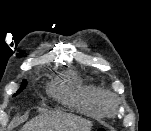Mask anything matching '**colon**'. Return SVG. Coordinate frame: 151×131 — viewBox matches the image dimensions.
Segmentation results:
<instances>
[{"label": "colon", "mask_w": 151, "mask_h": 131, "mask_svg": "<svg viewBox=\"0 0 151 131\" xmlns=\"http://www.w3.org/2000/svg\"><path fill=\"white\" fill-rule=\"evenodd\" d=\"M97 131H107L105 128H99Z\"/></svg>", "instance_id": "1"}]
</instances>
